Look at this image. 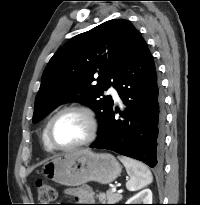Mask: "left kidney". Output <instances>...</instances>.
<instances>
[{
    "label": "left kidney",
    "mask_w": 200,
    "mask_h": 205,
    "mask_svg": "<svg viewBox=\"0 0 200 205\" xmlns=\"http://www.w3.org/2000/svg\"><path fill=\"white\" fill-rule=\"evenodd\" d=\"M125 204H152V191L146 188L127 200Z\"/></svg>",
    "instance_id": "left-kidney-1"
}]
</instances>
